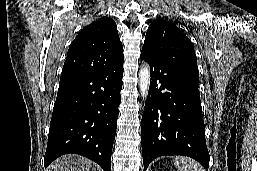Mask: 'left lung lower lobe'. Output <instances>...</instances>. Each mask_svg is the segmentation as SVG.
I'll return each mask as SVG.
<instances>
[{"mask_svg":"<svg viewBox=\"0 0 257 171\" xmlns=\"http://www.w3.org/2000/svg\"><path fill=\"white\" fill-rule=\"evenodd\" d=\"M150 88L142 116L144 171L164 155H184L209 167L205 125L199 93V73L162 55L150 57Z\"/></svg>","mask_w":257,"mask_h":171,"instance_id":"left-lung-lower-lobe-1","label":"left lung lower lobe"}]
</instances>
